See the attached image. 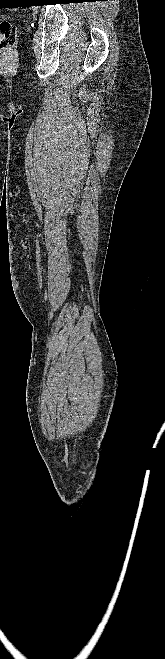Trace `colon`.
<instances>
[{
	"mask_svg": "<svg viewBox=\"0 0 165 659\" xmlns=\"http://www.w3.org/2000/svg\"><path fill=\"white\" fill-rule=\"evenodd\" d=\"M16 27L8 22H0V49L10 50L16 41Z\"/></svg>",
	"mask_w": 165,
	"mask_h": 659,
	"instance_id": "colon-1",
	"label": "colon"
}]
</instances>
